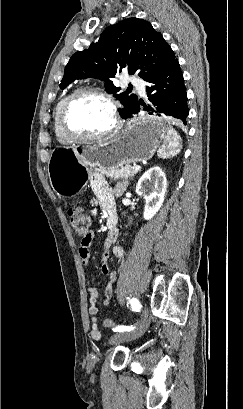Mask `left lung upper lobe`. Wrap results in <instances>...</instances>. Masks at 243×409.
<instances>
[{
	"label": "left lung upper lobe",
	"mask_w": 243,
	"mask_h": 409,
	"mask_svg": "<svg viewBox=\"0 0 243 409\" xmlns=\"http://www.w3.org/2000/svg\"><path fill=\"white\" fill-rule=\"evenodd\" d=\"M175 60L174 52L161 33L143 19L129 18L104 30L98 42L72 55L65 67L60 88L64 89L76 79L98 78L105 80L108 92L124 106L122 116L138 101L128 90L118 94L120 88L110 80L123 68L129 74L138 72L145 81L170 65Z\"/></svg>",
	"instance_id": "left-lung-upper-lobe-1"
}]
</instances>
